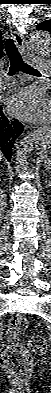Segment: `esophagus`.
<instances>
[{
    "label": "esophagus",
    "mask_w": 51,
    "mask_h": 393,
    "mask_svg": "<svg viewBox=\"0 0 51 393\" xmlns=\"http://www.w3.org/2000/svg\"><path fill=\"white\" fill-rule=\"evenodd\" d=\"M12 38L15 41L20 53L22 54V56L24 58L27 57V52L25 50V44H24V40H23V36L22 34L16 32V31H12ZM44 128L47 127L46 125L43 126Z\"/></svg>",
    "instance_id": "34e87169"
}]
</instances>
